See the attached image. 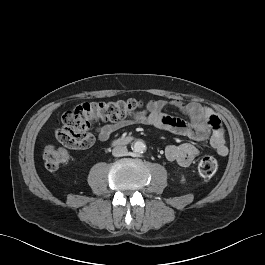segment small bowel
<instances>
[{
	"label": "small bowel",
	"mask_w": 265,
	"mask_h": 265,
	"mask_svg": "<svg viewBox=\"0 0 265 265\" xmlns=\"http://www.w3.org/2000/svg\"><path fill=\"white\" fill-rule=\"evenodd\" d=\"M167 107H173L184 114L188 121L172 117L163 113ZM215 117L213 111L195 102H184L181 100H150L146 108L135 116L116 123H107L97 129L96 138L91 136L89 142L84 146L68 145L71 149H85L91 146L95 139L107 141L111 135L132 124H145L172 133L185 135L195 141L210 140L213 148L221 156H226L228 149L224 143L221 130L211 126V119ZM198 153L197 147L189 142L182 144H171L165 149L167 160L175 162L180 166H190Z\"/></svg>",
	"instance_id": "obj_1"
}]
</instances>
